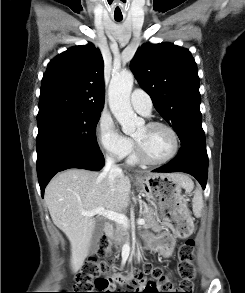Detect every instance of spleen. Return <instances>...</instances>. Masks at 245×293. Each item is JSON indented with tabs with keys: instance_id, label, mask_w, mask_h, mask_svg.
I'll return each instance as SVG.
<instances>
[{
	"instance_id": "obj_1",
	"label": "spleen",
	"mask_w": 245,
	"mask_h": 293,
	"mask_svg": "<svg viewBox=\"0 0 245 293\" xmlns=\"http://www.w3.org/2000/svg\"><path fill=\"white\" fill-rule=\"evenodd\" d=\"M192 209H193V213L196 217L201 216V212L203 209V196H202V192L199 188H197L195 190L193 200H192Z\"/></svg>"
}]
</instances>
